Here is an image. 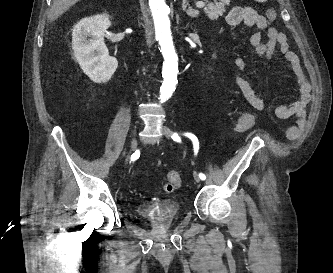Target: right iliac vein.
<instances>
[{
  "instance_id": "right-iliac-vein-1",
  "label": "right iliac vein",
  "mask_w": 333,
  "mask_h": 273,
  "mask_svg": "<svg viewBox=\"0 0 333 273\" xmlns=\"http://www.w3.org/2000/svg\"><path fill=\"white\" fill-rule=\"evenodd\" d=\"M136 148H137V140H136L135 137H133L132 140H131V143H130L129 154H128L127 158H126V164H127L128 161H129V158H130L131 153H132L133 151H135Z\"/></svg>"
}]
</instances>
